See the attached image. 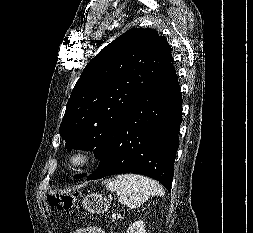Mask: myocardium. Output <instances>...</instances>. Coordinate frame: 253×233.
<instances>
[{"label":"myocardium","instance_id":"myocardium-1","mask_svg":"<svg viewBox=\"0 0 253 233\" xmlns=\"http://www.w3.org/2000/svg\"><path fill=\"white\" fill-rule=\"evenodd\" d=\"M95 159V153L87 147L72 149L65 158L66 167L73 172L87 168Z\"/></svg>","mask_w":253,"mask_h":233}]
</instances>
